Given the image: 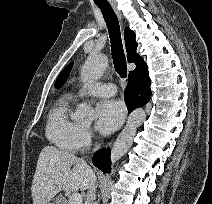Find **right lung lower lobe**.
Listing matches in <instances>:
<instances>
[{
    "label": "right lung lower lobe",
    "instance_id": "right-lung-lower-lobe-1",
    "mask_svg": "<svg viewBox=\"0 0 212 204\" xmlns=\"http://www.w3.org/2000/svg\"><path fill=\"white\" fill-rule=\"evenodd\" d=\"M150 82L147 65H143L134 73L129 74L128 85L125 89V103L129 113L149 102ZM110 151L109 148H104L93 156V164L104 173H109L111 170Z\"/></svg>",
    "mask_w": 212,
    "mask_h": 204
}]
</instances>
